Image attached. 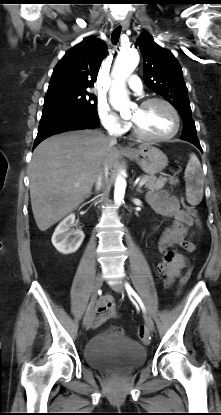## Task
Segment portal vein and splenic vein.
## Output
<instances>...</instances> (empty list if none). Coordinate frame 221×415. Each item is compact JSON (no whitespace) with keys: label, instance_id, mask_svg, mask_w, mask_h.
Listing matches in <instances>:
<instances>
[{"label":"portal vein and splenic vein","instance_id":"portal-vein-and-splenic-vein-1","mask_svg":"<svg viewBox=\"0 0 221 415\" xmlns=\"http://www.w3.org/2000/svg\"><path fill=\"white\" fill-rule=\"evenodd\" d=\"M145 182H146V179H141L138 183L139 187L143 186L145 184Z\"/></svg>","mask_w":221,"mask_h":415}]
</instances>
